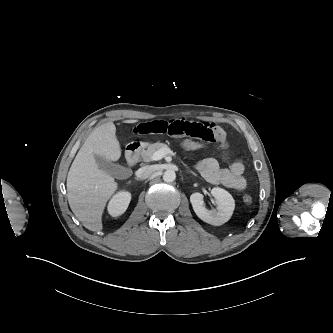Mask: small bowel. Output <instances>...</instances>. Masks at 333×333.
<instances>
[{"label": "small bowel", "instance_id": "obj_1", "mask_svg": "<svg viewBox=\"0 0 333 333\" xmlns=\"http://www.w3.org/2000/svg\"><path fill=\"white\" fill-rule=\"evenodd\" d=\"M132 131L137 135L165 134L172 138L191 137L215 142L222 150L228 148L226 133L214 123L188 120L185 118L156 119L137 124ZM200 174L210 183L243 190L247 181L244 177V164L234 161L228 168L220 167L214 158H205L196 165Z\"/></svg>", "mask_w": 333, "mask_h": 333}]
</instances>
